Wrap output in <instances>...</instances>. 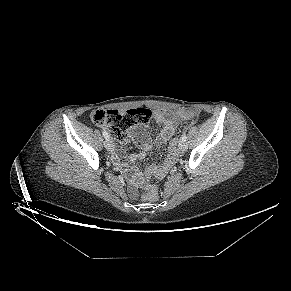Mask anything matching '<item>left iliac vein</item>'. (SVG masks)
I'll return each mask as SVG.
<instances>
[{"instance_id": "1", "label": "left iliac vein", "mask_w": 291, "mask_h": 291, "mask_svg": "<svg viewBox=\"0 0 291 291\" xmlns=\"http://www.w3.org/2000/svg\"><path fill=\"white\" fill-rule=\"evenodd\" d=\"M178 147L180 151L184 152L187 150V143L185 141H180Z\"/></svg>"}]
</instances>
